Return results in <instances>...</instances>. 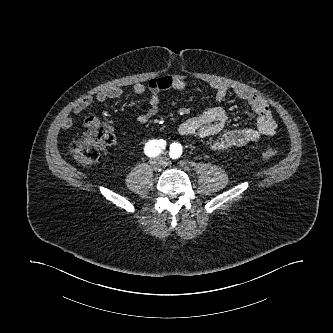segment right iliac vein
I'll list each match as a JSON object with an SVG mask.
<instances>
[{
  "instance_id": "63e3f726",
  "label": "right iliac vein",
  "mask_w": 333,
  "mask_h": 333,
  "mask_svg": "<svg viewBox=\"0 0 333 333\" xmlns=\"http://www.w3.org/2000/svg\"><path fill=\"white\" fill-rule=\"evenodd\" d=\"M151 166L154 171H160L162 169L163 163L159 159H154L151 161Z\"/></svg>"
}]
</instances>
